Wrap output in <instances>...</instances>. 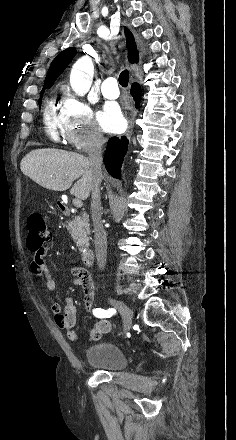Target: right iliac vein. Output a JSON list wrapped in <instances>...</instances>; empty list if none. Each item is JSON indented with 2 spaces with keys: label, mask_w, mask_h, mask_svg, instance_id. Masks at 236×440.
Here are the masks:
<instances>
[{
  "label": "right iliac vein",
  "mask_w": 236,
  "mask_h": 440,
  "mask_svg": "<svg viewBox=\"0 0 236 440\" xmlns=\"http://www.w3.org/2000/svg\"><path fill=\"white\" fill-rule=\"evenodd\" d=\"M108 302L113 305L115 308L119 310L123 317V323H124V332L127 333L132 325V311L131 309L122 301L113 299L111 297H108Z\"/></svg>",
  "instance_id": "obj_1"
}]
</instances>
